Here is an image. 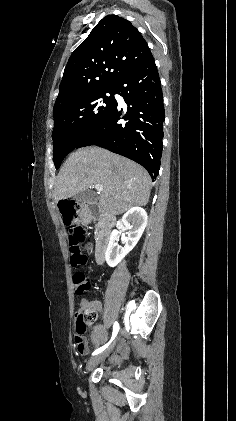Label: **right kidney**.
<instances>
[{
  "label": "right kidney",
  "mask_w": 236,
  "mask_h": 421,
  "mask_svg": "<svg viewBox=\"0 0 236 421\" xmlns=\"http://www.w3.org/2000/svg\"><path fill=\"white\" fill-rule=\"evenodd\" d=\"M147 213L141 206H132L129 211L123 215L121 221L124 225V229L128 231L125 237V247H119V231H112L109 245L105 253V259L109 267H116L118 263H121L122 259L128 255L129 251L134 249L137 245L140 237H142L147 227Z\"/></svg>",
  "instance_id": "obj_1"
}]
</instances>
